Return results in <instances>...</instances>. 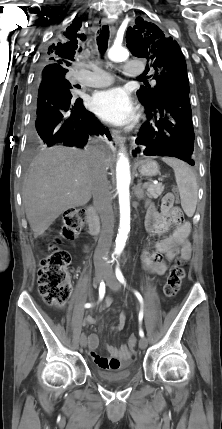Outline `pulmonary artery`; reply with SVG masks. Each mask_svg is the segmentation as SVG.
<instances>
[{
  "label": "pulmonary artery",
  "instance_id": "pulmonary-artery-1",
  "mask_svg": "<svg viewBox=\"0 0 222 429\" xmlns=\"http://www.w3.org/2000/svg\"><path fill=\"white\" fill-rule=\"evenodd\" d=\"M91 71L82 70V73H87L88 77H83L80 74L79 81L81 84L89 87H104L112 83V76L97 66H88ZM124 73L127 77L140 76L143 73V68L138 62L130 61L124 65Z\"/></svg>",
  "mask_w": 222,
  "mask_h": 429
}]
</instances>
